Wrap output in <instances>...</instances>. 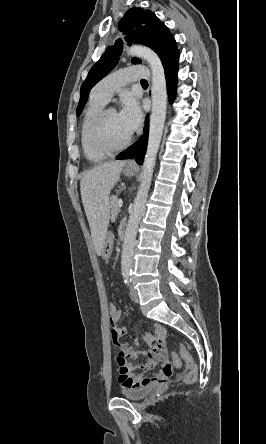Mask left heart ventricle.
Masks as SVG:
<instances>
[{"label":"left heart ventricle","instance_id":"b2bd125f","mask_svg":"<svg viewBox=\"0 0 266 444\" xmlns=\"http://www.w3.org/2000/svg\"><path fill=\"white\" fill-rule=\"evenodd\" d=\"M130 134L120 119L119 113L111 112L101 124L98 137L102 143L117 146L122 144Z\"/></svg>","mask_w":266,"mask_h":444}]
</instances>
